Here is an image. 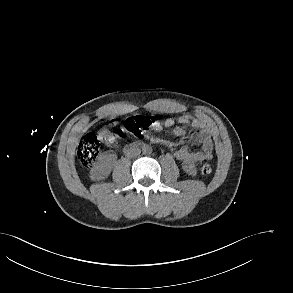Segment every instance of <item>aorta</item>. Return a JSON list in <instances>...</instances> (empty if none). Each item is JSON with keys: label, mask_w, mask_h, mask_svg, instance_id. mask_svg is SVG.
<instances>
[{"label": "aorta", "mask_w": 293, "mask_h": 293, "mask_svg": "<svg viewBox=\"0 0 293 293\" xmlns=\"http://www.w3.org/2000/svg\"><path fill=\"white\" fill-rule=\"evenodd\" d=\"M142 153L144 154V155H149V154H151L152 153V147L150 146V145H143V147H142Z\"/></svg>", "instance_id": "aorta-1"}]
</instances>
